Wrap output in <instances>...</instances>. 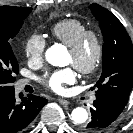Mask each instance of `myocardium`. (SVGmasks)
<instances>
[{
    "label": "myocardium",
    "mask_w": 133,
    "mask_h": 133,
    "mask_svg": "<svg viewBox=\"0 0 133 133\" xmlns=\"http://www.w3.org/2000/svg\"><path fill=\"white\" fill-rule=\"evenodd\" d=\"M89 41L93 42L95 48L93 59L88 64H74V67L84 75L95 73L102 64L104 45L100 33L94 29H86L76 41L68 47L72 54L80 55Z\"/></svg>",
    "instance_id": "f54148a6"
}]
</instances>
